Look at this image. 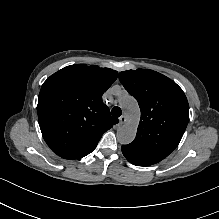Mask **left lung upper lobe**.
<instances>
[{"label":"left lung upper lobe","instance_id":"left-lung-upper-lobe-1","mask_svg":"<svg viewBox=\"0 0 219 219\" xmlns=\"http://www.w3.org/2000/svg\"><path fill=\"white\" fill-rule=\"evenodd\" d=\"M119 79L141 110L136 137L123 147L156 164L178 146L185 132L189 121L187 98L174 81L153 70L123 71Z\"/></svg>","mask_w":219,"mask_h":219}]
</instances>
